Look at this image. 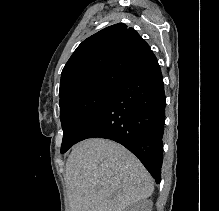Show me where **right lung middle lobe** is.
I'll return each instance as SVG.
<instances>
[{"instance_id":"1","label":"right lung middle lobe","mask_w":219,"mask_h":211,"mask_svg":"<svg viewBox=\"0 0 219 211\" xmlns=\"http://www.w3.org/2000/svg\"><path fill=\"white\" fill-rule=\"evenodd\" d=\"M116 85L97 84L60 101L63 128L61 153H65L100 110Z\"/></svg>"}]
</instances>
